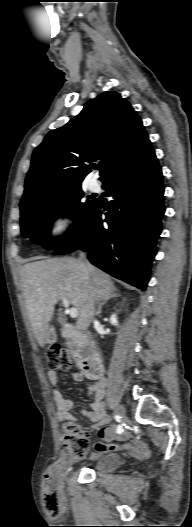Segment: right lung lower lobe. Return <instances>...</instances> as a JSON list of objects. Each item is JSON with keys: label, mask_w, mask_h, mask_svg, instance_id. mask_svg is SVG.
I'll return each instance as SVG.
<instances>
[{"label": "right lung lower lobe", "mask_w": 192, "mask_h": 527, "mask_svg": "<svg viewBox=\"0 0 192 527\" xmlns=\"http://www.w3.org/2000/svg\"><path fill=\"white\" fill-rule=\"evenodd\" d=\"M102 182L113 196L106 219H101L104 207L95 202L82 227L54 254L80 248L93 265L144 290L165 211L162 171L151 142Z\"/></svg>", "instance_id": "98d812e1"}]
</instances>
